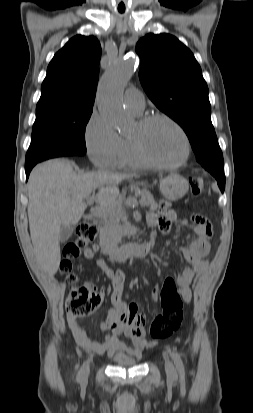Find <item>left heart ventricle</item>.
Returning a JSON list of instances; mask_svg holds the SVG:
<instances>
[{"label":"left heart ventricle","instance_id":"1","mask_svg":"<svg viewBox=\"0 0 253 413\" xmlns=\"http://www.w3.org/2000/svg\"><path fill=\"white\" fill-rule=\"evenodd\" d=\"M133 136L142 140L148 155L158 162L174 163L184 154L182 136L166 121H156L144 130L137 126Z\"/></svg>","mask_w":253,"mask_h":413}]
</instances>
